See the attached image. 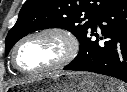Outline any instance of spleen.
I'll return each instance as SVG.
<instances>
[{
    "label": "spleen",
    "mask_w": 127,
    "mask_h": 92,
    "mask_svg": "<svg viewBox=\"0 0 127 92\" xmlns=\"http://www.w3.org/2000/svg\"><path fill=\"white\" fill-rule=\"evenodd\" d=\"M118 92H127L123 84L118 85Z\"/></svg>",
    "instance_id": "spleen-1"
}]
</instances>
